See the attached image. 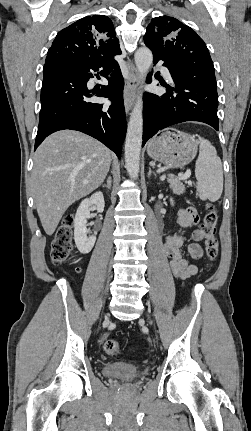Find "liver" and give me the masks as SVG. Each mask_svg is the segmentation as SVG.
<instances>
[{
  "mask_svg": "<svg viewBox=\"0 0 251 431\" xmlns=\"http://www.w3.org/2000/svg\"><path fill=\"white\" fill-rule=\"evenodd\" d=\"M111 159L105 145L78 131H58L43 141L34 155L32 189L47 235L55 232L70 205L103 183Z\"/></svg>",
  "mask_w": 251,
  "mask_h": 431,
  "instance_id": "1",
  "label": "liver"
}]
</instances>
